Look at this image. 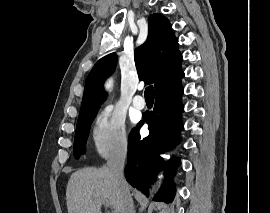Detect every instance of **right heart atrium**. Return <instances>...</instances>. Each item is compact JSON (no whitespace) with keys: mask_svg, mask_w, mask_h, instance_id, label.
I'll use <instances>...</instances> for the list:
<instances>
[{"mask_svg":"<svg viewBox=\"0 0 270 213\" xmlns=\"http://www.w3.org/2000/svg\"><path fill=\"white\" fill-rule=\"evenodd\" d=\"M90 140L99 157L125 154L129 148V139L123 114L113 106L102 107L93 120Z\"/></svg>","mask_w":270,"mask_h":213,"instance_id":"1","label":"right heart atrium"}]
</instances>
